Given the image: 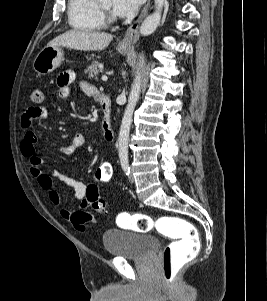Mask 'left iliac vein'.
Segmentation results:
<instances>
[{
	"label": "left iliac vein",
	"mask_w": 267,
	"mask_h": 301,
	"mask_svg": "<svg viewBox=\"0 0 267 301\" xmlns=\"http://www.w3.org/2000/svg\"><path fill=\"white\" fill-rule=\"evenodd\" d=\"M128 180H129V182H131V183L134 182V176H133L132 172H130V173L128 174Z\"/></svg>",
	"instance_id": "1"
}]
</instances>
